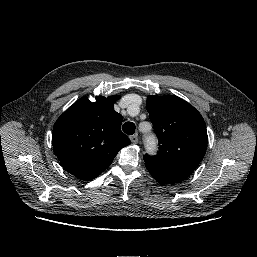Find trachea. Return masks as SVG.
Listing matches in <instances>:
<instances>
[{
    "mask_svg": "<svg viewBox=\"0 0 257 257\" xmlns=\"http://www.w3.org/2000/svg\"><path fill=\"white\" fill-rule=\"evenodd\" d=\"M135 124L133 122H126L123 124L122 126V130L128 134V135H132L135 133Z\"/></svg>",
    "mask_w": 257,
    "mask_h": 257,
    "instance_id": "obj_1",
    "label": "trachea"
}]
</instances>
